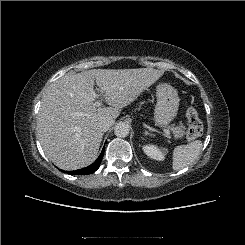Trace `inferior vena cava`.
<instances>
[{
    "mask_svg": "<svg viewBox=\"0 0 245 245\" xmlns=\"http://www.w3.org/2000/svg\"><path fill=\"white\" fill-rule=\"evenodd\" d=\"M114 124V119L112 118H107V119H103L100 121L99 123V127L101 129V131L106 132L109 130V128Z\"/></svg>",
    "mask_w": 245,
    "mask_h": 245,
    "instance_id": "obj_1",
    "label": "inferior vena cava"
}]
</instances>
